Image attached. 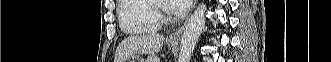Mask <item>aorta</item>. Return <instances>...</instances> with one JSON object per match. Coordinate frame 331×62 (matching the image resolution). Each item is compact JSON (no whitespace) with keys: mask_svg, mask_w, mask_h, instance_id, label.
Masks as SVG:
<instances>
[{"mask_svg":"<svg viewBox=\"0 0 331 62\" xmlns=\"http://www.w3.org/2000/svg\"><path fill=\"white\" fill-rule=\"evenodd\" d=\"M206 5L200 4L191 15L181 38L179 62H190L192 53L205 26Z\"/></svg>","mask_w":331,"mask_h":62,"instance_id":"aorta-1","label":"aorta"}]
</instances>
